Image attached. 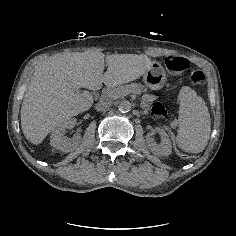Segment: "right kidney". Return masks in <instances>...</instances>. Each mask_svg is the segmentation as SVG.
I'll return each instance as SVG.
<instances>
[{
	"label": "right kidney",
	"instance_id": "obj_1",
	"mask_svg": "<svg viewBox=\"0 0 236 236\" xmlns=\"http://www.w3.org/2000/svg\"><path fill=\"white\" fill-rule=\"evenodd\" d=\"M75 124V119H68L61 126L54 129L51 134L50 143L55 149L64 153H70L83 148V139L81 135L76 134L69 143H67V138L64 136L65 130L72 129Z\"/></svg>",
	"mask_w": 236,
	"mask_h": 236
}]
</instances>
